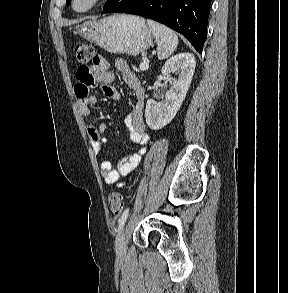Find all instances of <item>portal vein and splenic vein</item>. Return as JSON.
Segmentation results:
<instances>
[{
	"instance_id": "18ae733b",
	"label": "portal vein and splenic vein",
	"mask_w": 288,
	"mask_h": 293,
	"mask_svg": "<svg viewBox=\"0 0 288 293\" xmlns=\"http://www.w3.org/2000/svg\"><path fill=\"white\" fill-rule=\"evenodd\" d=\"M149 68V60L144 59L143 62L140 64V69L141 70H146Z\"/></svg>"
}]
</instances>
